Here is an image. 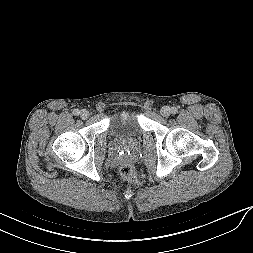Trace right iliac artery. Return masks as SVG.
<instances>
[{
    "label": "right iliac artery",
    "instance_id": "right-iliac-artery-1",
    "mask_svg": "<svg viewBox=\"0 0 253 253\" xmlns=\"http://www.w3.org/2000/svg\"><path fill=\"white\" fill-rule=\"evenodd\" d=\"M73 114H74L75 116H78V115L80 114V111H79L78 109H74V110H73Z\"/></svg>",
    "mask_w": 253,
    "mask_h": 253
}]
</instances>
